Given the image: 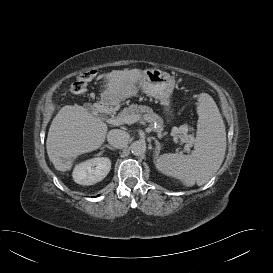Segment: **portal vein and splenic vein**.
Masks as SVG:
<instances>
[{
  "mask_svg": "<svg viewBox=\"0 0 273 273\" xmlns=\"http://www.w3.org/2000/svg\"><path fill=\"white\" fill-rule=\"evenodd\" d=\"M140 119L139 115H131L127 116L125 118H120V117H113L109 119V123L113 125H121L123 123L126 124H133L137 122ZM190 144H187L186 147L189 148Z\"/></svg>",
  "mask_w": 273,
  "mask_h": 273,
  "instance_id": "18ae733b",
  "label": "portal vein and splenic vein"
}]
</instances>
